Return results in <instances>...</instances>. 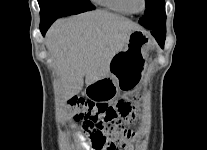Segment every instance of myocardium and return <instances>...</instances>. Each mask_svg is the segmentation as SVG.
<instances>
[{
    "label": "myocardium",
    "instance_id": "obj_1",
    "mask_svg": "<svg viewBox=\"0 0 207 150\" xmlns=\"http://www.w3.org/2000/svg\"><path fill=\"white\" fill-rule=\"evenodd\" d=\"M129 9L132 11V13L135 14H140L143 13L146 10L147 7V1L146 0H142V8L140 10H137L134 8L133 6V0H125Z\"/></svg>",
    "mask_w": 207,
    "mask_h": 150
}]
</instances>
